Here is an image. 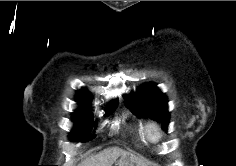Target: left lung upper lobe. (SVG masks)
<instances>
[{
  "label": "left lung upper lobe",
  "mask_w": 236,
  "mask_h": 166,
  "mask_svg": "<svg viewBox=\"0 0 236 166\" xmlns=\"http://www.w3.org/2000/svg\"><path fill=\"white\" fill-rule=\"evenodd\" d=\"M125 103L134 113L146 115L162 123V128L167 130L169 112L167 97L156 88L154 83L140 86L136 92L124 95Z\"/></svg>",
  "instance_id": "obj_1"
}]
</instances>
